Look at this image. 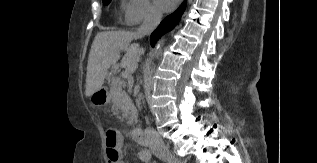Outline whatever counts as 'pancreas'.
<instances>
[{
    "label": "pancreas",
    "instance_id": "cf45deb5",
    "mask_svg": "<svg viewBox=\"0 0 317 163\" xmlns=\"http://www.w3.org/2000/svg\"><path fill=\"white\" fill-rule=\"evenodd\" d=\"M109 99L112 103L113 113L118 116L120 120H127L128 125H133L137 122V110L125 90L122 89L121 84H112L110 88ZM122 113L121 116L119 114Z\"/></svg>",
    "mask_w": 317,
    "mask_h": 163
}]
</instances>
